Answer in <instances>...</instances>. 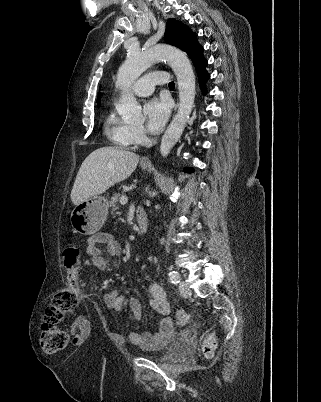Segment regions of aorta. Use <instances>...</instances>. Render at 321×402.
<instances>
[{
    "label": "aorta",
    "instance_id": "obj_1",
    "mask_svg": "<svg viewBox=\"0 0 321 402\" xmlns=\"http://www.w3.org/2000/svg\"><path fill=\"white\" fill-rule=\"evenodd\" d=\"M166 60L174 71L179 90L178 111L165 131L160 145V152L167 157L180 139L194 106L195 75L187 55L170 45H156L144 51L129 50L124 63L117 73V85L122 95L116 105L120 115L130 119L141 117L142 108L129 92L131 84L154 62Z\"/></svg>",
    "mask_w": 321,
    "mask_h": 402
}]
</instances>
